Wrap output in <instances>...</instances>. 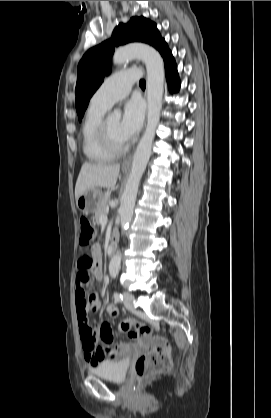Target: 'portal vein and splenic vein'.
<instances>
[{
  "instance_id": "obj_1",
  "label": "portal vein and splenic vein",
  "mask_w": 271,
  "mask_h": 418,
  "mask_svg": "<svg viewBox=\"0 0 271 418\" xmlns=\"http://www.w3.org/2000/svg\"><path fill=\"white\" fill-rule=\"evenodd\" d=\"M107 220H108V218H107V214L103 215V216L100 218V222H101V223H106V222H107Z\"/></svg>"
}]
</instances>
